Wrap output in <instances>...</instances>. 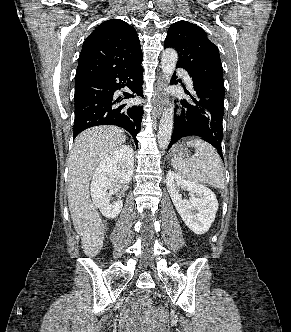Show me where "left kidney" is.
I'll return each instance as SVG.
<instances>
[{"label": "left kidney", "instance_id": "obj_1", "mask_svg": "<svg viewBox=\"0 0 291 332\" xmlns=\"http://www.w3.org/2000/svg\"><path fill=\"white\" fill-rule=\"evenodd\" d=\"M166 186L187 227L196 234L206 233L218 210L215 194L206 186L185 180L174 171L167 173ZM180 189L189 192V199L182 197Z\"/></svg>", "mask_w": 291, "mask_h": 332}]
</instances>
